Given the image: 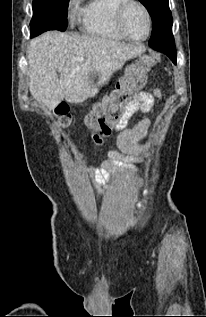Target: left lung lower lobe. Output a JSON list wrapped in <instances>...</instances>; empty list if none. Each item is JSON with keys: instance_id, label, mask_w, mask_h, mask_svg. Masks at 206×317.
I'll return each mask as SVG.
<instances>
[{"instance_id": "obj_1", "label": "left lung lower lobe", "mask_w": 206, "mask_h": 317, "mask_svg": "<svg viewBox=\"0 0 206 317\" xmlns=\"http://www.w3.org/2000/svg\"><path fill=\"white\" fill-rule=\"evenodd\" d=\"M150 47L166 54L175 64L176 63V49L175 45L172 43H166V44H150Z\"/></svg>"}]
</instances>
